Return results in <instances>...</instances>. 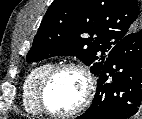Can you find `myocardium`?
I'll return each mask as SVG.
<instances>
[{"instance_id": "f54148a6", "label": "myocardium", "mask_w": 142, "mask_h": 119, "mask_svg": "<svg viewBox=\"0 0 142 119\" xmlns=\"http://www.w3.org/2000/svg\"><path fill=\"white\" fill-rule=\"evenodd\" d=\"M76 70L84 80V92L80 104L67 112H57L50 109L46 102V91L54 77L64 70ZM95 80L90 70L83 64L77 62H63L53 66V68L45 75L38 89V104L41 110L54 117H73L83 112L91 103L95 93Z\"/></svg>"}]
</instances>
